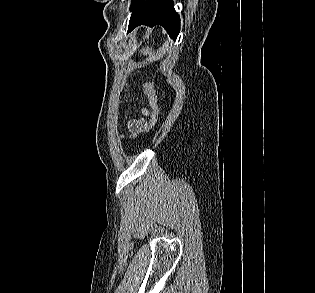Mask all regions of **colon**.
<instances>
[{
	"label": "colon",
	"instance_id": "5ec220e1",
	"mask_svg": "<svg viewBox=\"0 0 315 293\" xmlns=\"http://www.w3.org/2000/svg\"><path fill=\"white\" fill-rule=\"evenodd\" d=\"M143 92L146 95L149 106H150V113H149V120L148 123L150 126L147 128L151 129L152 127H158L159 126V116L161 114V107L160 105H157V97L156 92L154 89V86L151 82H146L143 85Z\"/></svg>",
	"mask_w": 315,
	"mask_h": 293
}]
</instances>
